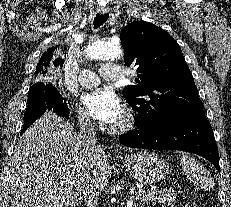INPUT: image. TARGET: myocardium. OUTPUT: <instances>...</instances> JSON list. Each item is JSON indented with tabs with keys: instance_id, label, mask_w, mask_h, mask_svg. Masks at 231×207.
<instances>
[{
	"instance_id": "1",
	"label": "myocardium",
	"mask_w": 231,
	"mask_h": 207,
	"mask_svg": "<svg viewBox=\"0 0 231 207\" xmlns=\"http://www.w3.org/2000/svg\"><path fill=\"white\" fill-rule=\"evenodd\" d=\"M136 122V118L131 110H126L124 112V115L122 119L114 124L111 128L110 131L115 134H122L129 132L130 130L133 129L134 125Z\"/></svg>"
}]
</instances>
